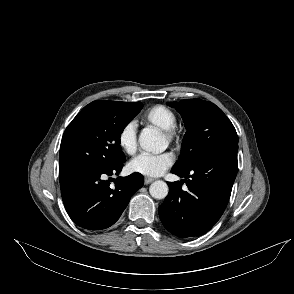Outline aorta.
<instances>
[{
    "instance_id": "obj_1",
    "label": "aorta",
    "mask_w": 294,
    "mask_h": 294,
    "mask_svg": "<svg viewBox=\"0 0 294 294\" xmlns=\"http://www.w3.org/2000/svg\"><path fill=\"white\" fill-rule=\"evenodd\" d=\"M139 144L147 152L158 153L162 150V138L153 129H144L141 132ZM168 190V185L161 180L153 182L149 188L151 196L155 199H164L168 195Z\"/></svg>"
}]
</instances>
